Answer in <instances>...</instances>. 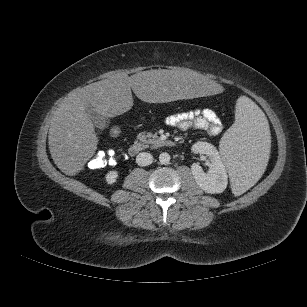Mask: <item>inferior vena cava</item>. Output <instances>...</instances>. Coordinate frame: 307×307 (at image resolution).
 <instances>
[{"mask_svg":"<svg viewBox=\"0 0 307 307\" xmlns=\"http://www.w3.org/2000/svg\"><path fill=\"white\" fill-rule=\"evenodd\" d=\"M153 162V156L148 152H141L136 156V163L139 166H148Z\"/></svg>","mask_w":307,"mask_h":307,"instance_id":"1","label":"inferior vena cava"}]
</instances>
